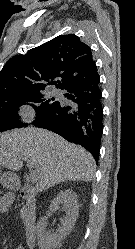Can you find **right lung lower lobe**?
<instances>
[{"label": "right lung lower lobe", "instance_id": "98d812e1", "mask_svg": "<svg viewBox=\"0 0 135 249\" xmlns=\"http://www.w3.org/2000/svg\"><path fill=\"white\" fill-rule=\"evenodd\" d=\"M65 90L67 93L64 96L71 100L73 105L57 101L52 108L38 115L32 124L83 146L97 162L103 133L99 74L89 81L75 83Z\"/></svg>", "mask_w": 135, "mask_h": 249}]
</instances>
